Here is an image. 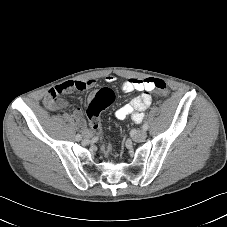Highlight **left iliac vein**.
<instances>
[{"label": "left iliac vein", "instance_id": "obj_1", "mask_svg": "<svg viewBox=\"0 0 227 227\" xmlns=\"http://www.w3.org/2000/svg\"><path fill=\"white\" fill-rule=\"evenodd\" d=\"M147 137V132L146 130L142 129V130H139L135 136H134V140L137 141V142H142L146 139Z\"/></svg>", "mask_w": 227, "mask_h": 227}]
</instances>
